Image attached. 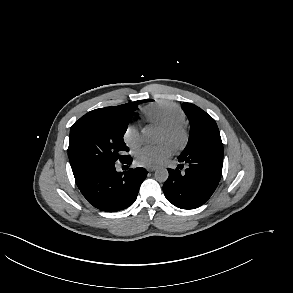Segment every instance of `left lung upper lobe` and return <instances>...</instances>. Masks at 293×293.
<instances>
[{
    "label": "left lung upper lobe",
    "mask_w": 293,
    "mask_h": 293,
    "mask_svg": "<svg viewBox=\"0 0 293 293\" xmlns=\"http://www.w3.org/2000/svg\"><path fill=\"white\" fill-rule=\"evenodd\" d=\"M190 123L188 144L179 157L204 152L223 158V144L215 120L194 104L183 103Z\"/></svg>",
    "instance_id": "left-lung-upper-lobe-1"
}]
</instances>
